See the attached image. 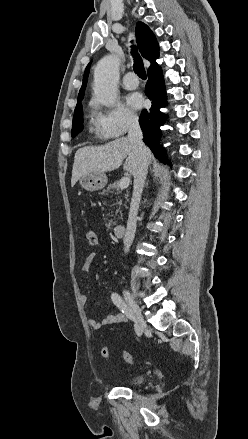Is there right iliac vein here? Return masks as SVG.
I'll list each match as a JSON object with an SVG mask.
<instances>
[{"instance_id": "right-iliac-vein-1", "label": "right iliac vein", "mask_w": 248, "mask_h": 439, "mask_svg": "<svg viewBox=\"0 0 248 439\" xmlns=\"http://www.w3.org/2000/svg\"><path fill=\"white\" fill-rule=\"evenodd\" d=\"M125 299L127 300L128 304L133 310L134 316H135V322L137 324V327L139 329L140 335L143 333V330L146 326V323L143 319V316L141 314V310L137 304V302L134 300L133 296L129 291H124Z\"/></svg>"}]
</instances>
